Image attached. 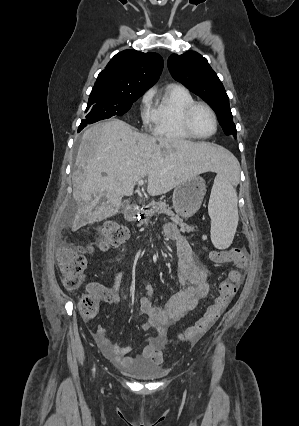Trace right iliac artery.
<instances>
[{
	"label": "right iliac artery",
	"instance_id": "right-iliac-artery-1",
	"mask_svg": "<svg viewBox=\"0 0 299 426\" xmlns=\"http://www.w3.org/2000/svg\"><path fill=\"white\" fill-rule=\"evenodd\" d=\"M92 371H93V373H95V367L93 368V370H92Z\"/></svg>",
	"mask_w": 299,
	"mask_h": 426
}]
</instances>
